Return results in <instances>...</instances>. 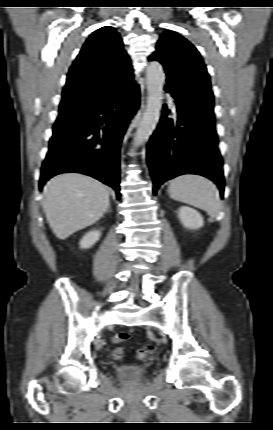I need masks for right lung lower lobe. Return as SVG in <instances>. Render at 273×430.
<instances>
[{
	"mask_svg": "<svg viewBox=\"0 0 273 430\" xmlns=\"http://www.w3.org/2000/svg\"><path fill=\"white\" fill-rule=\"evenodd\" d=\"M139 106V87L104 91L73 126L53 132L41 168L39 188L65 172L92 176L113 187L121 197L120 145L129 120ZM105 124L103 128L101 125Z\"/></svg>",
	"mask_w": 273,
	"mask_h": 430,
	"instance_id": "right-lung-lower-lobe-1",
	"label": "right lung lower lobe"
}]
</instances>
